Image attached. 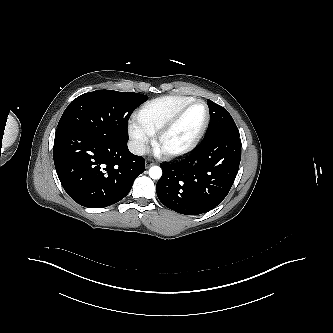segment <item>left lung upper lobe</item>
Returning <instances> with one entry per match:
<instances>
[{
	"label": "left lung upper lobe",
	"instance_id": "5c2ea615",
	"mask_svg": "<svg viewBox=\"0 0 333 333\" xmlns=\"http://www.w3.org/2000/svg\"><path fill=\"white\" fill-rule=\"evenodd\" d=\"M207 104L210 110V123L204 139L222 134L239 135L238 128L226 109L211 100H207Z\"/></svg>",
	"mask_w": 333,
	"mask_h": 333
}]
</instances>
